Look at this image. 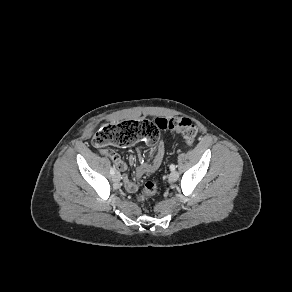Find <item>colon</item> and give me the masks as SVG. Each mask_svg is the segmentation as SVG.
<instances>
[{"mask_svg": "<svg viewBox=\"0 0 292 292\" xmlns=\"http://www.w3.org/2000/svg\"><path fill=\"white\" fill-rule=\"evenodd\" d=\"M176 130L184 139L188 147L192 146L197 134L196 126L187 118L173 117L156 120L139 119L126 120L119 123H105L101 125L92 138L95 147L107 145L127 146L138 140L156 142L160 136V129ZM157 191V185L149 181L143 190L137 194L136 199L143 202Z\"/></svg>", "mask_w": 292, "mask_h": 292, "instance_id": "1", "label": "colon"}]
</instances>
